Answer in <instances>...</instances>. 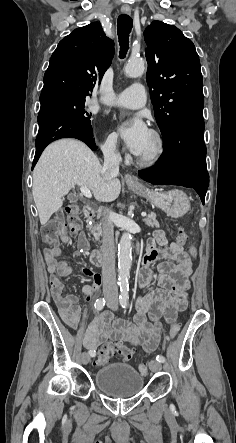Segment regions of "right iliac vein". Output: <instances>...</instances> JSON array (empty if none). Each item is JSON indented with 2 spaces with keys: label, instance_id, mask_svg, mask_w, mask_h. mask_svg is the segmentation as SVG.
Returning a JSON list of instances; mask_svg holds the SVG:
<instances>
[{
  "label": "right iliac vein",
  "instance_id": "obj_1",
  "mask_svg": "<svg viewBox=\"0 0 236 443\" xmlns=\"http://www.w3.org/2000/svg\"><path fill=\"white\" fill-rule=\"evenodd\" d=\"M108 307H111V305H107ZM81 361H82V363L83 364H88L89 363V361H90V355L87 353V352H83L82 354H81Z\"/></svg>",
  "mask_w": 236,
  "mask_h": 443
}]
</instances>
